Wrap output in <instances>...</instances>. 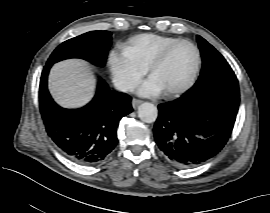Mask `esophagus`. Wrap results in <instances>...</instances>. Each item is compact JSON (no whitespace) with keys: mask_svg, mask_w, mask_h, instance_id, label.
<instances>
[{"mask_svg":"<svg viewBox=\"0 0 270 213\" xmlns=\"http://www.w3.org/2000/svg\"><path fill=\"white\" fill-rule=\"evenodd\" d=\"M142 102H143L142 100L133 98L132 99V106H133V108L136 109Z\"/></svg>","mask_w":270,"mask_h":213,"instance_id":"34e87169","label":"esophagus"}]
</instances>
